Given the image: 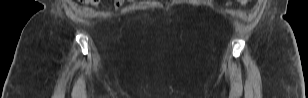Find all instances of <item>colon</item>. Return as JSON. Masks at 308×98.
I'll return each instance as SVG.
<instances>
[{"label": "colon", "mask_w": 308, "mask_h": 98, "mask_svg": "<svg viewBox=\"0 0 308 98\" xmlns=\"http://www.w3.org/2000/svg\"><path fill=\"white\" fill-rule=\"evenodd\" d=\"M86 2H87V1H86ZM238 2L244 3V2H246V0H239Z\"/></svg>", "instance_id": "5ec220e1"}]
</instances>
